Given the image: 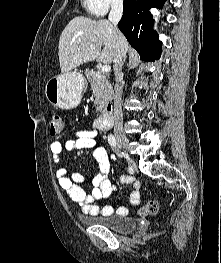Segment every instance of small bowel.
<instances>
[{"instance_id":"small-bowel-1","label":"small bowel","mask_w":221,"mask_h":263,"mask_svg":"<svg viewBox=\"0 0 221 263\" xmlns=\"http://www.w3.org/2000/svg\"><path fill=\"white\" fill-rule=\"evenodd\" d=\"M97 129L77 130L72 138H66L64 141H54L50 144V152L55 163H59L65 151L74 149H89L98 164L99 172L92 180V187L89 193H86L79 184L84 181L81 173L73 172L69 174L68 168L59 166L56 169V178L60 188L81 208L84 213L90 215H111L114 209L110 205L100 208L96 202L107 199L116 191V186L110 179L111 160L116 161V156L107 153L105 148L97 140ZM122 184L132 185L133 190L129 201L131 205L137 206L140 203V183L132 175H125L120 178ZM116 213L126 215L128 208L120 206Z\"/></svg>"}]
</instances>
